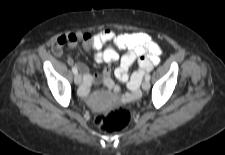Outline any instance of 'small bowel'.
<instances>
[{
	"label": "small bowel",
	"instance_id": "obj_1",
	"mask_svg": "<svg viewBox=\"0 0 225 155\" xmlns=\"http://www.w3.org/2000/svg\"><path fill=\"white\" fill-rule=\"evenodd\" d=\"M82 42L86 50L94 49L93 60L96 63H112L120 60L119 67L115 70L116 78L127 84L128 91L121 92L110 78V69L105 68L99 75L93 76L89 73L88 67L83 63H77L78 69L83 74V84L80 88V95L87 98L90 89L95 81L101 82L120 102H130L139 97V86L143 74L158 64L161 48L147 33H120L117 34L110 29H105L97 34L85 32L68 33L60 36L52 45V52L56 56L62 54L64 46L73 47ZM113 42L118 49L126 50L120 57L116 49L109 46ZM69 63H73L68 58ZM137 62L138 70L133 74L129 73L131 66ZM112 98L107 97L101 103L108 104Z\"/></svg>",
	"mask_w": 225,
	"mask_h": 155
}]
</instances>
